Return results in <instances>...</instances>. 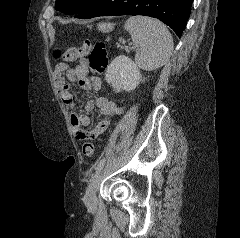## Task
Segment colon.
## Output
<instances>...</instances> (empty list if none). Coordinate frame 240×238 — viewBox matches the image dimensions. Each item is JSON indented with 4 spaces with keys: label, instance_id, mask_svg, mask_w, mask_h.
I'll use <instances>...</instances> for the list:
<instances>
[{
    "label": "colon",
    "instance_id": "obj_1",
    "mask_svg": "<svg viewBox=\"0 0 240 238\" xmlns=\"http://www.w3.org/2000/svg\"><path fill=\"white\" fill-rule=\"evenodd\" d=\"M53 56L56 59H61L66 62L75 61L88 56L89 67L96 74L104 72L108 64L105 44L103 42L93 43L90 40L84 41L79 47L68 48L64 52L55 50ZM87 138L90 137L88 135H84V139ZM82 152L86 157H93L95 154L94 145L90 141H85L82 146Z\"/></svg>",
    "mask_w": 240,
    "mask_h": 238
}]
</instances>
